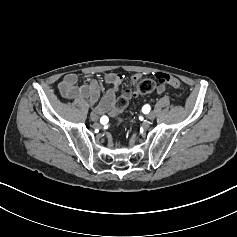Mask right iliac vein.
<instances>
[{
  "instance_id": "63e3f726",
  "label": "right iliac vein",
  "mask_w": 237,
  "mask_h": 237,
  "mask_svg": "<svg viewBox=\"0 0 237 237\" xmlns=\"http://www.w3.org/2000/svg\"><path fill=\"white\" fill-rule=\"evenodd\" d=\"M90 117L93 121H97L98 120V115L96 113H91Z\"/></svg>"
}]
</instances>
